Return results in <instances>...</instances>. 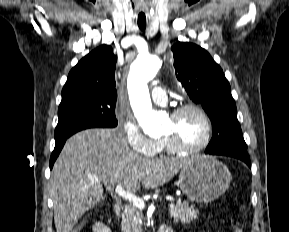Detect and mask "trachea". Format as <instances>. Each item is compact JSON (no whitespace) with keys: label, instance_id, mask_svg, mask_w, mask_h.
I'll return each mask as SVG.
<instances>
[{"label":"trachea","instance_id":"obj_1","mask_svg":"<svg viewBox=\"0 0 289 232\" xmlns=\"http://www.w3.org/2000/svg\"><path fill=\"white\" fill-rule=\"evenodd\" d=\"M140 30H144L146 28V24H138Z\"/></svg>","mask_w":289,"mask_h":232}]
</instances>
